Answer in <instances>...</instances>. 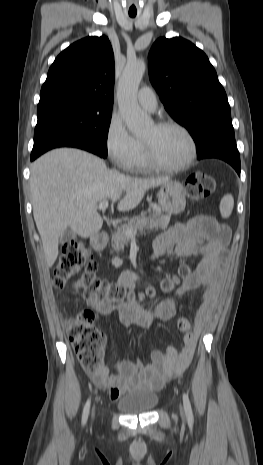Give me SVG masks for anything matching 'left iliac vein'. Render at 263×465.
I'll return each instance as SVG.
<instances>
[{
    "label": "left iliac vein",
    "mask_w": 263,
    "mask_h": 465,
    "mask_svg": "<svg viewBox=\"0 0 263 465\" xmlns=\"http://www.w3.org/2000/svg\"><path fill=\"white\" fill-rule=\"evenodd\" d=\"M180 414H181L182 418H184L185 415H184V410H183L182 406H180Z\"/></svg>",
    "instance_id": "1"
}]
</instances>
